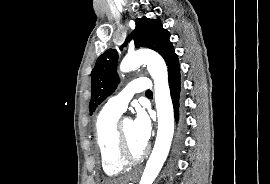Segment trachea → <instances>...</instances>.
<instances>
[{
	"mask_svg": "<svg viewBox=\"0 0 270 184\" xmlns=\"http://www.w3.org/2000/svg\"><path fill=\"white\" fill-rule=\"evenodd\" d=\"M152 94V91H150V90H148L147 92H146V95H151Z\"/></svg>",
	"mask_w": 270,
	"mask_h": 184,
	"instance_id": "obj_1",
	"label": "trachea"
}]
</instances>
